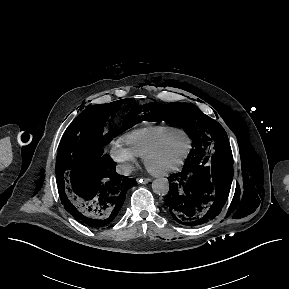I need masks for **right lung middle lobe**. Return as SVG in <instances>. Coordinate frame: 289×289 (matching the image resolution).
Returning <instances> with one entry per match:
<instances>
[{
	"label": "right lung middle lobe",
	"instance_id": "1",
	"mask_svg": "<svg viewBox=\"0 0 289 289\" xmlns=\"http://www.w3.org/2000/svg\"><path fill=\"white\" fill-rule=\"evenodd\" d=\"M134 101L119 100L108 104L93 105L84 110L67 128L57 154V184L69 178L71 171L88 158L101 156L103 145L113 139L109 125L120 105ZM139 107L132 109L117 135L139 123Z\"/></svg>",
	"mask_w": 289,
	"mask_h": 289
}]
</instances>
